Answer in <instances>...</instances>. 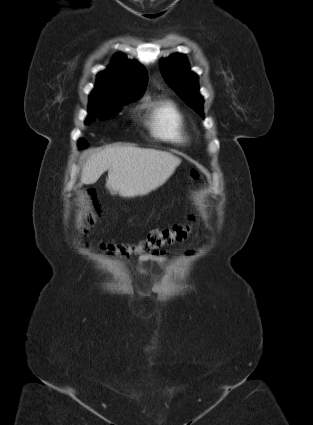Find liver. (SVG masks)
<instances>
[{
  "label": "liver",
  "mask_w": 313,
  "mask_h": 425,
  "mask_svg": "<svg viewBox=\"0 0 313 425\" xmlns=\"http://www.w3.org/2000/svg\"><path fill=\"white\" fill-rule=\"evenodd\" d=\"M181 159L169 152L133 146H109L90 155L81 173V183L94 184L108 171L106 188L111 194L133 198L162 186Z\"/></svg>",
  "instance_id": "obj_1"
}]
</instances>
